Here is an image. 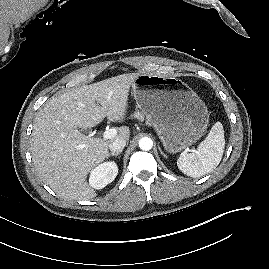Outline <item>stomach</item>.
I'll return each instance as SVG.
<instances>
[{
  "label": "stomach",
  "instance_id": "0dacf381",
  "mask_svg": "<svg viewBox=\"0 0 269 269\" xmlns=\"http://www.w3.org/2000/svg\"><path fill=\"white\" fill-rule=\"evenodd\" d=\"M132 89L138 108L155 128L167 152L184 150L203 135L209 122L207 107L181 80L143 73L135 79Z\"/></svg>",
  "mask_w": 269,
  "mask_h": 269
}]
</instances>
